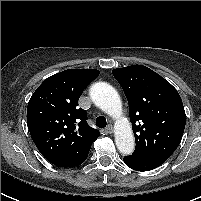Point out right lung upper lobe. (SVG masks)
Returning <instances> with one entry per match:
<instances>
[{
	"label": "right lung upper lobe",
	"mask_w": 201,
	"mask_h": 201,
	"mask_svg": "<svg viewBox=\"0 0 201 201\" xmlns=\"http://www.w3.org/2000/svg\"><path fill=\"white\" fill-rule=\"evenodd\" d=\"M98 70L68 69L50 76L36 89L27 107V124L40 153L59 167L84 162L100 133L86 122L78 108L83 90Z\"/></svg>",
	"instance_id": "1"
}]
</instances>
